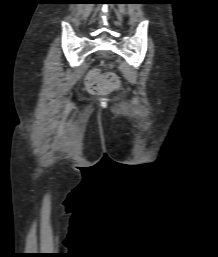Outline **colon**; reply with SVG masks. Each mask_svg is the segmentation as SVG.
I'll return each instance as SVG.
<instances>
[{
  "instance_id": "5ec220e1",
  "label": "colon",
  "mask_w": 218,
  "mask_h": 257,
  "mask_svg": "<svg viewBox=\"0 0 218 257\" xmlns=\"http://www.w3.org/2000/svg\"><path fill=\"white\" fill-rule=\"evenodd\" d=\"M87 85L92 92H108L118 89L120 82L113 73L99 75L97 71H93L88 76Z\"/></svg>"
}]
</instances>
